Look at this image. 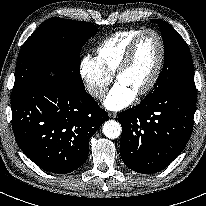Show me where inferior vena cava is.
<instances>
[{
  "label": "inferior vena cava",
  "instance_id": "1",
  "mask_svg": "<svg viewBox=\"0 0 206 206\" xmlns=\"http://www.w3.org/2000/svg\"><path fill=\"white\" fill-rule=\"evenodd\" d=\"M89 93L96 98H102L105 96L106 90L100 87H91Z\"/></svg>",
  "mask_w": 206,
  "mask_h": 206
}]
</instances>
